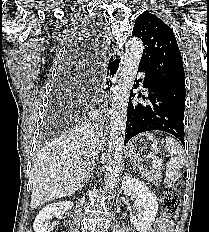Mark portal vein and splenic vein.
<instances>
[{"instance_id":"1","label":"portal vein and splenic vein","mask_w":209,"mask_h":232,"mask_svg":"<svg viewBox=\"0 0 209 232\" xmlns=\"http://www.w3.org/2000/svg\"><path fill=\"white\" fill-rule=\"evenodd\" d=\"M163 159H154L153 162H152V166L153 167H156L157 165H161V162H162Z\"/></svg>"}]
</instances>
